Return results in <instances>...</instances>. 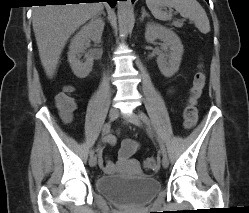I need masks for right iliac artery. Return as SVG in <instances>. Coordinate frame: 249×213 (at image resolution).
Segmentation results:
<instances>
[{
    "mask_svg": "<svg viewBox=\"0 0 249 213\" xmlns=\"http://www.w3.org/2000/svg\"><path fill=\"white\" fill-rule=\"evenodd\" d=\"M110 128H111V124L110 123H106L102 129V135H106L110 132ZM94 149H91L90 151V156L94 155Z\"/></svg>",
    "mask_w": 249,
    "mask_h": 213,
    "instance_id": "right-iliac-artery-1",
    "label": "right iliac artery"
}]
</instances>
